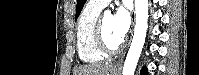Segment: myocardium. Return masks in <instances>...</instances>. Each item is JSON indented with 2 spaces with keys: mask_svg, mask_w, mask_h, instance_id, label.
<instances>
[{
  "mask_svg": "<svg viewBox=\"0 0 199 75\" xmlns=\"http://www.w3.org/2000/svg\"><path fill=\"white\" fill-rule=\"evenodd\" d=\"M94 39H95L96 46L104 54L117 53L123 47V41H121L118 45L114 47H111L106 43L104 39V34H103V16H99L95 24Z\"/></svg>",
  "mask_w": 199,
  "mask_h": 75,
  "instance_id": "1",
  "label": "myocardium"
}]
</instances>
